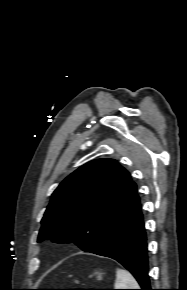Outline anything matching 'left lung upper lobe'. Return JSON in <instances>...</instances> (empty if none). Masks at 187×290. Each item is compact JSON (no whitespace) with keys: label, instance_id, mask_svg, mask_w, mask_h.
<instances>
[{"label":"left lung upper lobe","instance_id":"left-lung-upper-lobe-1","mask_svg":"<svg viewBox=\"0 0 187 290\" xmlns=\"http://www.w3.org/2000/svg\"><path fill=\"white\" fill-rule=\"evenodd\" d=\"M137 196L129 172L116 160H92L53 192L42 218L38 242H74L91 252L126 213Z\"/></svg>","mask_w":187,"mask_h":290}]
</instances>
